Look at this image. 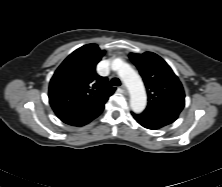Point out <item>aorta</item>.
Segmentation results:
<instances>
[{"label": "aorta", "instance_id": "obj_1", "mask_svg": "<svg viewBox=\"0 0 222 187\" xmlns=\"http://www.w3.org/2000/svg\"><path fill=\"white\" fill-rule=\"evenodd\" d=\"M112 68L117 69L119 76L130 93V106L135 113H141L147 104L145 88L140 76L121 59L112 62Z\"/></svg>", "mask_w": 222, "mask_h": 187}]
</instances>
